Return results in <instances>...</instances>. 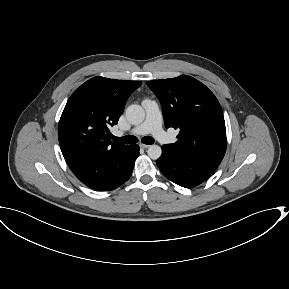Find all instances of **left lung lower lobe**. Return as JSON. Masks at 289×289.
<instances>
[{
    "label": "left lung lower lobe",
    "instance_id": "obj_1",
    "mask_svg": "<svg viewBox=\"0 0 289 289\" xmlns=\"http://www.w3.org/2000/svg\"><path fill=\"white\" fill-rule=\"evenodd\" d=\"M157 166L162 174L172 182L182 187L192 188L210 178L218 165L197 158L173 154L163 146Z\"/></svg>",
    "mask_w": 289,
    "mask_h": 289
}]
</instances>
